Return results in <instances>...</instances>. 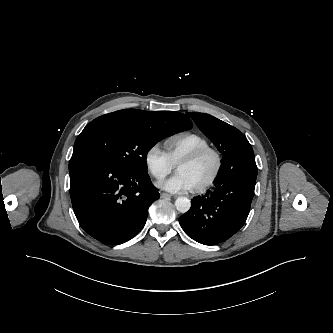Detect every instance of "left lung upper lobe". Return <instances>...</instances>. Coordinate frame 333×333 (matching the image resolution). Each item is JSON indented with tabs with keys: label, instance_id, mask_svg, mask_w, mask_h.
<instances>
[{
	"label": "left lung upper lobe",
	"instance_id": "left-lung-upper-lobe-1",
	"mask_svg": "<svg viewBox=\"0 0 333 333\" xmlns=\"http://www.w3.org/2000/svg\"><path fill=\"white\" fill-rule=\"evenodd\" d=\"M199 129L217 146L223 159L240 147L249 145L247 138L235 127L205 113H187Z\"/></svg>",
	"mask_w": 333,
	"mask_h": 333
}]
</instances>
